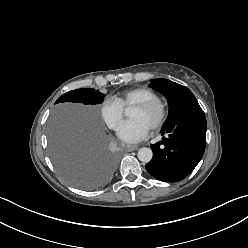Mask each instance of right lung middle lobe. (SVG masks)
<instances>
[{"instance_id":"dd1d6c3e","label":"right lung middle lobe","mask_w":248,"mask_h":248,"mask_svg":"<svg viewBox=\"0 0 248 248\" xmlns=\"http://www.w3.org/2000/svg\"><path fill=\"white\" fill-rule=\"evenodd\" d=\"M104 96L95 89H76L62 95L55 103L99 104ZM49 148L60 175L80 189L93 190L101 187L115 169V160L105 152V138L92 116L82 118L77 130L52 127Z\"/></svg>"}]
</instances>
